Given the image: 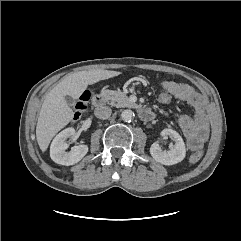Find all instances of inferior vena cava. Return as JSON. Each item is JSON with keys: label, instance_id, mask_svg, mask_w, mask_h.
I'll list each match as a JSON object with an SVG mask.
<instances>
[{"label": "inferior vena cava", "instance_id": "1", "mask_svg": "<svg viewBox=\"0 0 241 241\" xmlns=\"http://www.w3.org/2000/svg\"><path fill=\"white\" fill-rule=\"evenodd\" d=\"M112 110L108 106H101L99 108H96L95 115L99 119H108L111 116Z\"/></svg>", "mask_w": 241, "mask_h": 241}]
</instances>
